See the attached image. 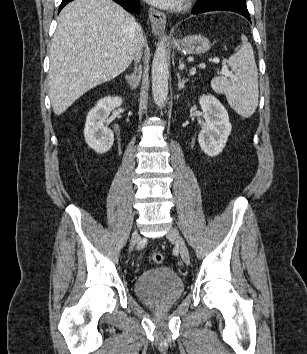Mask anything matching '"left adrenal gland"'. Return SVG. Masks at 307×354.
<instances>
[{
  "instance_id": "obj_1",
  "label": "left adrenal gland",
  "mask_w": 307,
  "mask_h": 354,
  "mask_svg": "<svg viewBox=\"0 0 307 354\" xmlns=\"http://www.w3.org/2000/svg\"><path fill=\"white\" fill-rule=\"evenodd\" d=\"M177 78H178V90H181V89H183L185 87V83L188 82V79H185V80L182 79L181 80V77H180L179 73H177Z\"/></svg>"
}]
</instances>
